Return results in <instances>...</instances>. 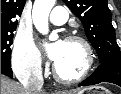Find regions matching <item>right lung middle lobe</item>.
<instances>
[{"label": "right lung middle lobe", "mask_w": 121, "mask_h": 94, "mask_svg": "<svg viewBox=\"0 0 121 94\" xmlns=\"http://www.w3.org/2000/svg\"><path fill=\"white\" fill-rule=\"evenodd\" d=\"M13 31H1V60L3 61H10Z\"/></svg>", "instance_id": "1"}]
</instances>
